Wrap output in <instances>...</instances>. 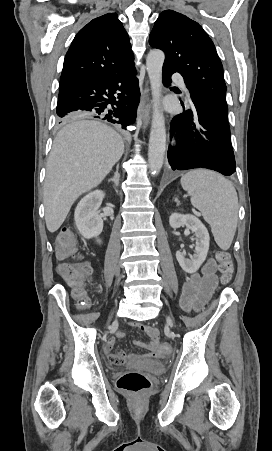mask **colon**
<instances>
[{"label":"colon","mask_w":272,"mask_h":451,"mask_svg":"<svg viewBox=\"0 0 272 451\" xmlns=\"http://www.w3.org/2000/svg\"><path fill=\"white\" fill-rule=\"evenodd\" d=\"M79 242L75 240L73 235H70L69 229H62L57 241V249L59 256L64 260H69L73 254V249H78ZM216 259L219 261L218 270L222 280L228 281L231 279L234 264L227 251L221 250L216 253ZM89 264L87 262H79L78 264H71L70 262H61L59 264L58 276L59 278H66L67 283L74 290L75 303H90L91 295L88 288H83L85 277L89 275L87 271ZM159 354H164L166 358L171 356V348L169 345H159L156 348ZM110 362L121 367L125 358L122 353L112 354ZM117 387L121 391H126L134 394L142 393L151 387V382L147 374L141 371H128L122 374L117 380Z\"/></svg>","instance_id":"colon-1"}]
</instances>
